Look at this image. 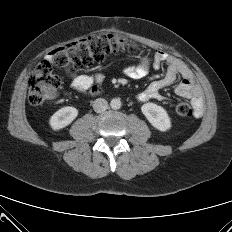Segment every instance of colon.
Listing matches in <instances>:
<instances>
[{
    "instance_id": "1",
    "label": "colon",
    "mask_w": 232,
    "mask_h": 232,
    "mask_svg": "<svg viewBox=\"0 0 232 232\" xmlns=\"http://www.w3.org/2000/svg\"><path fill=\"white\" fill-rule=\"evenodd\" d=\"M135 45L126 37L117 34L90 36L54 50L47 60L40 62L27 78L28 98L32 105H40L55 95L61 86L60 78L53 74V67L83 69L101 63L113 53L133 51ZM178 116L192 113L189 104L181 102L174 108Z\"/></svg>"
}]
</instances>
